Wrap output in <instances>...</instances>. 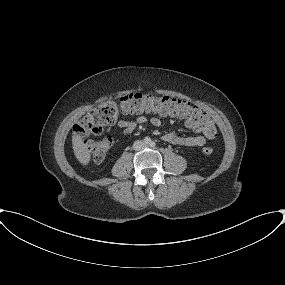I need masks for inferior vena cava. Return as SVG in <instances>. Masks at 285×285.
Here are the masks:
<instances>
[{"mask_svg":"<svg viewBox=\"0 0 285 285\" xmlns=\"http://www.w3.org/2000/svg\"><path fill=\"white\" fill-rule=\"evenodd\" d=\"M145 147H146V144L143 141H141V140H137L133 144V149L136 150V151L142 150Z\"/></svg>","mask_w":285,"mask_h":285,"instance_id":"obj_1","label":"inferior vena cava"}]
</instances>
